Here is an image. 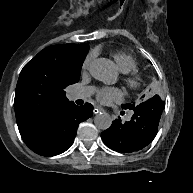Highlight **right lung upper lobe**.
Returning <instances> with one entry per match:
<instances>
[{
    "mask_svg": "<svg viewBox=\"0 0 193 193\" xmlns=\"http://www.w3.org/2000/svg\"><path fill=\"white\" fill-rule=\"evenodd\" d=\"M87 44L53 45L22 69L14 99L19 130L44 125L72 106L64 89L79 81Z\"/></svg>",
    "mask_w": 193,
    "mask_h": 193,
    "instance_id": "1",
    "label": "right lung upper lobe"
}]
</instances>
